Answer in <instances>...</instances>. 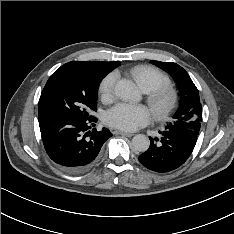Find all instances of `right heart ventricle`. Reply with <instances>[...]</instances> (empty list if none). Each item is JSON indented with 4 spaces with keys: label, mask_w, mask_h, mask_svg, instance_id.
<instances>
[{
    "label": "right heart ventricle",
    "mask_w": 234,
    "mask_h": 234,
    "mask_svg": "<svg viewBox=\"0 0 234 234\" xmlns=\"http://www.w3.org/2000/svg\"><path fill=\"white\" fill-rule=\"evenodd\" d=\"M130 74L140 89L148 93L160 86H170L169 78L159 69L149 65H138Z\"/></svg>",
    "instance_id": "1"
}]
</instances>
